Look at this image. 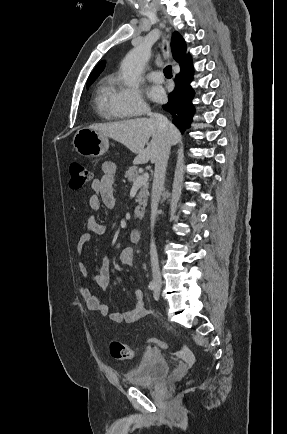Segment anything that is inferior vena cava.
Segmentation results:
<instances>
[{
    "instance_id": "obj_1",
    "label": "inferior vena cava",
    "mask_w": 287,
    "mask_h": 434,
    "mask_svg": "<svg viewBox=\"0 0 287 434\" xmlns=\"http://www.w3.org/2000/svg\"><path fill=\"white\" fill-rule=\"evenodd\" d=\"M146 114L155 120L159 131V147L155 157V171L152 185V197H151V244H150V260L152 267L153 280L160 284L161 273L158 262V254L153 238V229L155 219L157 216L158 203L161 197V193L164 187V180L166 174V167L171 147V133L169 128V121L166 117L158 113H152L150 110L146 111Z\"/></svg>"
}]
</instances>
